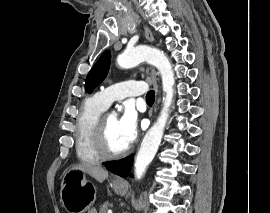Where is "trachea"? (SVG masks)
Wrapping results in <instances>:
<instances>
[{"instance_id":"trachea-1","label":"trachea","mask_w":270,"mask_h":213,"mask_svg":"<svg viewBox=\"0 0 270 213\" xmlns=\"http://www.w3.org/2000/svg\"><path fill=\"white\" fill-rule=\"evenodd\" d=\"M155 100V92L153 90L149 91L146 95L147 103H154Z\"/></svg>"}]
</instances>
